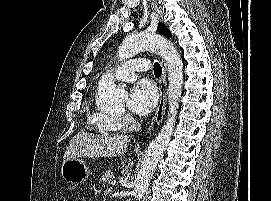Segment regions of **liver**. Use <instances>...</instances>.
I'll return each mask as SVG.
<instances>
[{
    "mask_svg": "<svg viewBox=\"0 0 271 201\" xmlns=\"http://www.w3.org/2000/svg\"><path fill=\"white\" fill-rule=\"evenodd\" d=\"M130 137L123 134L98 135L78 132L70 141L63 162L80 157H114L124 153Z\"/></svg>",
    "mask_w": 271,
    "mask_h": 201,
    "instance_id": "obj_1",
    "label": "liver"
}]
</instances>
